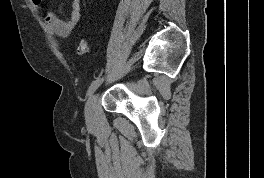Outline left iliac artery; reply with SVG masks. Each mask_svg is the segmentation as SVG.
Masks as SVG:
<instances>
[{"label": "left iliac artery", "mask_w": 264, "mask_h": 178, "mask_svg": "<svg viewBox=\"0 0 264 178\" xmlns=\"http://www.w3.org/2000/svg\"><path fill=\"white\" fill-rule=\"evenodd\" d=\"M102 81H103V77H99L96 80H94L88 89L87 95L91 96L94 93V91L98 88V86L101 84Z\"/></svg>", "instance_id": "obj_1"}]
</instances>
